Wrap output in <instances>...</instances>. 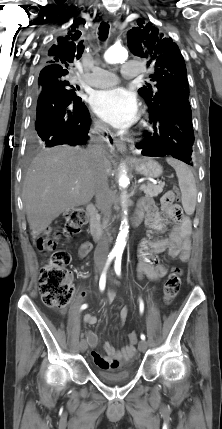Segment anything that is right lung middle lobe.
Instances as JSON below:
<instances>
[{
    "mask_svg": "<svg viewBox=\"0 0 222 429\" xmlns=\"http://www.w3.org/2000/svg\"><path fill=\"white\" fill-rule=\"evenodd\" d=\"M47 84L57 85L65 89L73 96H77L74 92L75 88L69 84L66 75H39L37 89L38 91Z\"/></svg>",
    "mask_w": 222,
    "mask_h": 429,
    "instance_id": "1",
    "label": "right lung middle lobe"
}]
</instances>
